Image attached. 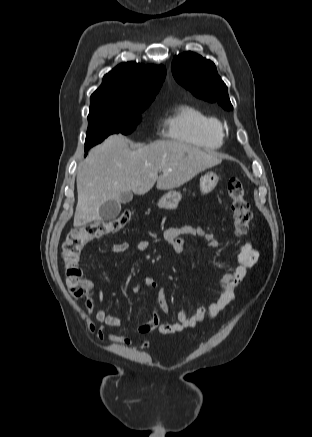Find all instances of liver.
I'll list each match as a JSON object with an SVG mask.
<instances>
[{"mask_svg":"<svg viewBox=\"0 0 312 437\" xmlns=\"http://www.w3.org/2000/svg\"><path fill=\"white\" fill-rule=\"evenodd\" d=\"M221 162L218 153L171 140L131 150L126 137L112 135L78 166L74 226L101 219L100 207L109 200L119 202L122 192L145 194L156 182L158 190L177 188Z\"/></svg>","mask_w":312,"mask_h":437,"instance_id":"1","label":"liver"}]
</instances>
